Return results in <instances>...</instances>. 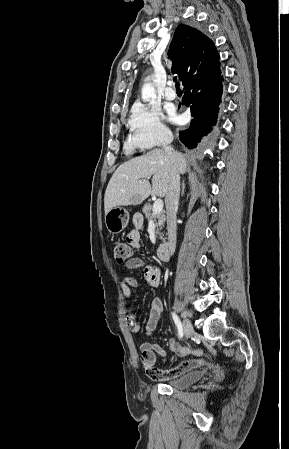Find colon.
Listing matches in <instances>:
<instances>
[{
    "instance_id": "1",
    "label": "colon",
    "mask_w": 289,
    "mask_h": 449,
    "mask_svg": "<svg viewBox=\"0 0 289 449\" xmlns=\"http://www.w3.org/2000/svg\"><path fill=\"white\" fill-rule=\"evenodd\" d=\"M113 255L118 263L125 264L132 259V249L127 242L117 241L113 245Z\"/></svg>"
}]
</instances>
